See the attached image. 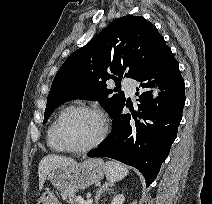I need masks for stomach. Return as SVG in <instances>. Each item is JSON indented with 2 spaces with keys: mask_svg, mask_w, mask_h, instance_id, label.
<instances>
[{
  "mask_svg": "<svg viewBox=\"0 0 212 204\" xmlns=\"http://www.w3.org/2000/svg\"><path fill=\"white\" fill-rule=\"evenodd\" d=\"M106 173V168L101 159H88L82 163L75 161L53 167L47 180L58 190L85 189L100 181ZM37 204H60L52 191L46 189Z\"/></svg>",
  "mask_w": 212,
  "mask_h": 204,
  "instance_id": "stomach-1",
  "label": "stomach"
}]
</instances>
